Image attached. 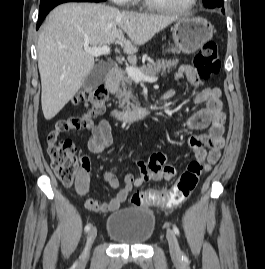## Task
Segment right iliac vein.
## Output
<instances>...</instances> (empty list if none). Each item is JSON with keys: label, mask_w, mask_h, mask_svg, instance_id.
Here are the masks:
<instances>
[{"label": "right iliac vein", "mask_w": 265, "mask_h": 269, "mask_svg": "<svg viewBox=\"0 0 265 269\" xmlns=\"http://www.w3.org/2000/svg\"><path fill=\"white\" fill-rule=\"evenodd\" d=\"M96 235H97V229L95 227L91 228L87 234L86 247L84 252V256L86 258L89 256V251L96 238Z\"/></svg>", "instance_id": "right-iliac-vein-1"}]
</instances>
